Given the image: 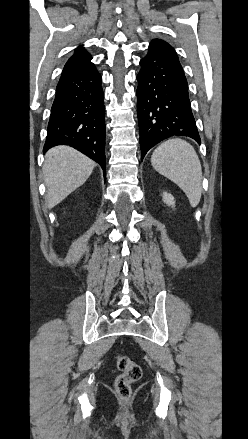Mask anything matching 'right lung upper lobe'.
Returning a JSON list of instances; mask_svg holds the SVG:
<instances>
[{"label": "right lung upper lobe", "instance_id": "obj_1", "mask_svg": "<svg viewBox=\"0 0 248 439\" xmlns=\"http://www.w3.org/2000/svg\"><path fill=\"white\" fill-rule=\"evenodd\" d=\"M91 59L92 56L84 50L82 46H79L75 49L73 56L65 64L60 79L75 74L92 65Z\"/></svg>", "mask_w": 248, "mask_h": 439}]
</instances>
